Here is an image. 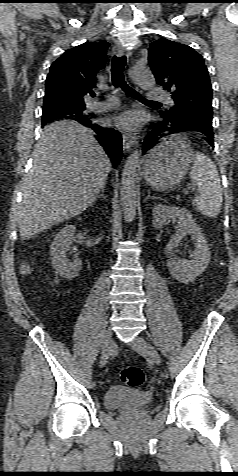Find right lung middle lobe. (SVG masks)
Here are the masks:
<instances>
[{"label":"right lung middle lobe","mask_w":238,"mask_h":476,"mask_svg":"<svg viewBox=\"0 0 238 476\" xmlns=\"http://www.w3.org/2000/svg\"><path fill=\"white\" fill-rule=\"evenodd\" d=\"M94 115L85 111V105H73L58 102H44L42 124L58 119L76 121L93 119Z\"/></svg>","instance_id":"dd1d6c3e"}]
</instances>
